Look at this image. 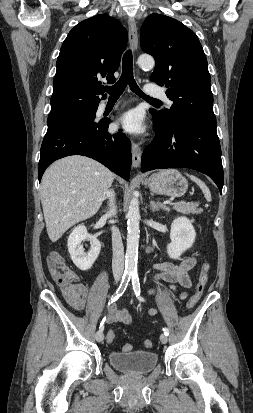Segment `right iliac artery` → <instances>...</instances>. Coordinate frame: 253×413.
Segmentation results:
<instances>
[{"instance_id": "1", "label": "right iliac artery", "mask_w": 253, "mask_h": 413, "mask_svg": "<svg viewBox=\"0 0 253 413\" xmlns=\"http://www.w3.org/2000/svg\"><path fill=\"white\" fill-rule=\"evenodd\" d=\"M130 278H131L130 273H124V275L122 277L121 284H120L119 288L117 289V291L114 293V295L111 297L109 304L115 302L120 296H122V294L125 292V290L127 288V285L130 281ZM104 321H105V318L103 319V321L100 324L99 331L104 330V325H103Z\"/></svg>"}]
</instances>
